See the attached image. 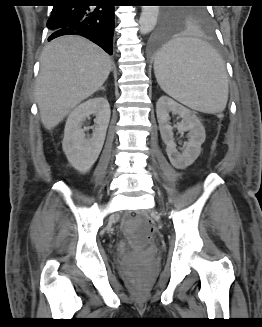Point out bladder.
<instances>
[{"instance_id": "obj_1", "label": "bladder", "mask_w": 262, "mask_h": 327, "mask_svg": "<svg viewBox=\"0 0 262 327\" xmlns=\"http://www.w3.org/2000/svg\"><path fill=\"white\" fill-rule=\"evenodd\" d=\"M138 262H139V260L137 258L129 257V258L122 260L121 267L124 269H131V268L135 267L136 265H138Z\"/></svg>"}]
</instances>
